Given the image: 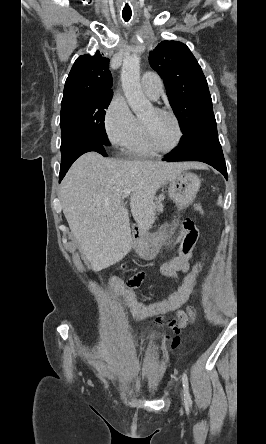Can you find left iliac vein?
Returning <instances> with one entry per match:
<instances>
[{
  "label": "left iliac vein",
  "instance_id": "1",
  "mask_svg": "<svg viewBox=\"0 0 266 444\" xmlns=\"http://www.w3.org/2000/svg\"><path fill=\"white\" fill-rule=\"evenodd\" d=\"M180 395H181V400L184 403L185 399H184V395H183V391L182 389H180Z\"/></svg>",
  "mask_w": 266,
  "mask_h": 444
}]
</instances>
